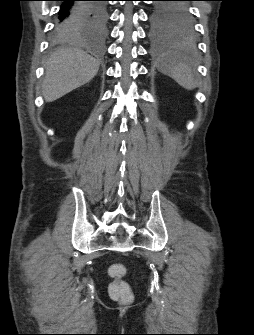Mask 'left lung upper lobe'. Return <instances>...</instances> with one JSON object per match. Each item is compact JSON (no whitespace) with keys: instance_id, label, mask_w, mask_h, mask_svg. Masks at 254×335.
Listing matches in <instances>:
<instances>
[{"instance_id":"1","label":"left lung upper lobe","mask_w":254,"mask_h":335,"mask_svg":"<svg viewBox=\"0 0 254 335\" xmlns=\"http://www.w3.org/2000/svg\"><path fill=\"white\" fill-rule=\"evenodd\" d=\"M157 1L151 14V29L155 36L180 34L193 29V19L189 11V0Z\"/></svg>"}]
</instances>
